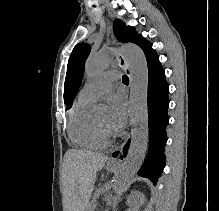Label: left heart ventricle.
<instances>
[{
    "mask_svg": "<svg viewBox=\"0 0 219 211\" xmlns=\"http://www.w3.org/2000/svg\"><path fill=\"white\" fill-rule=\"evenodd\" d=\"M97 120L103 124V125H108V119H107V114L106 113H103V114H100L97 118Z\"/></svg>",
    "mask_w": 219,
    "mask_h": 211,
    "instance_id": "b2bd125f",
    "label": "left heart ventricle"
}]
</instances>
